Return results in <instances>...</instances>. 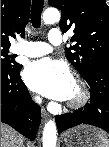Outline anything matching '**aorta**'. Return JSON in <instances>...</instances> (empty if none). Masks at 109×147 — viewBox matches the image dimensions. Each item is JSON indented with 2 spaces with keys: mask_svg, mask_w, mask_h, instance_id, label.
I'll use <instances>...</instances> for the list:
<instances>
[{
  "mask_svg": "<svg viewBox=\"0 0 109 147\" xmlns=\"http://www.w3.org/2000/svg\"><path fill=\"white\" fill-rule=\"evenodd\" d=\"M61 14L56 8H48L43 13L45 24H54L60 20ZM56 124L53 120L48 121L43 130V147H56Z\"/></svg>",
  "mask_w": 109,
  "mask_h": 147,
  "instance_id": "obj_1",
  "label": "aorta"
}]
</instances>
